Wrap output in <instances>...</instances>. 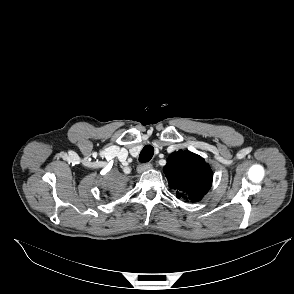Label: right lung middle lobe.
Returning a JSON list of instances; mask_svg holds the SVG:
<instances>
[{
	"instance_id": "1",
	"label": "right lung middle lobe",
	"mask_w": 294,
	"mask_h": 294,
	"mask_svg": "<svg viewBox=\"0 0 294 294\" xmlns=\"http://www.w3.org/2000/svg\"><path fill=\"white\" fill-rule=\"evenodd\" d=\"M102 190L106 194L107 200H113L118 197L123 189V183L116 176H109L101 184Z\"/></svg>"
}]
</instances>
